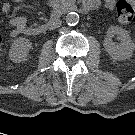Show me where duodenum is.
Masks as SVG:
<instances>
[{
  "label": "duodenum",
  "instance_id": "obj_1",
  "mask_svg": "<svg viewBox=\"0 0 135 135\" xmlns=\"http://www.w3.org/2000/svg\"><path fill=\"white\" fill-rule=\"evenodd\" d=\"M59 6L62 7L63 10L67 12L77 10L85 12L92 7L91 3L87 2L86 0L78 1L76 3H74L72 0H66L64 3L59 4ZM29 33L33 35H39L42 33V30L40 27H35L31 28L29 30Z\"/></svg>",
  "mask_w": 135,
  "mask_h": 135
}]
</instances>
